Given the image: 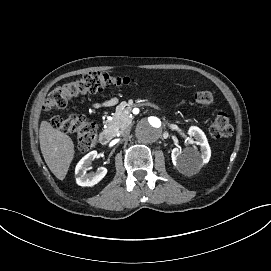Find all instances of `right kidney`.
Masks as SVG:
<instances>
[{"mask_svg":"<svg viewBox=\"0 0 271 271\" xmlns=\"http://www.w3.org/2000/svg\"><path fill=\"white\" fill-rule=\"evenodd\" d=\"M97 151H91L85 155L75 167V175H77L76 183L80 186H93L98 183L107 173L104 167L97 168L95 172L86 173L88 167L94 159H97Z\"/></svg>","mask_w":271,"mask_h":271,"instance_id":"right-kidney-1","label":"right kidney"}]
</instances>
